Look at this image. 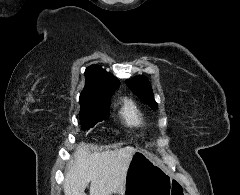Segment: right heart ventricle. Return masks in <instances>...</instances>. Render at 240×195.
Returning a JSON list of instances; mask_svg holds the SVG:
<instances>
[{"label": "right heart ventricle", "mask_w": 240, "mask_h": 195, "mask_svg": "<svg viewBox=\"0 0 240 195\" xmlns=\"http://www.w3.org/2000/svg\"><path fill=\"white\" fill-rule=\"evenodd\" d=\"M120 114L128 125L137 126L141 123L140 111L133 101L126 100L120 109Z\"/></svg>", "instance_id": "right-heart-ventricle-1"}]
</instances>
